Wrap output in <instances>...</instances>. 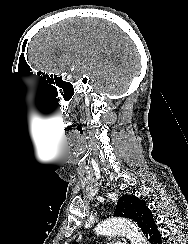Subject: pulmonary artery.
<instances>
[{
	"instance_id": "pulmonary-artery-1",
	"label": "pulmonary artery",
	"mask_w": 188,
	"mask_h": 244,
	"mask_svg": "<svg viewBox=\"0 0 188 244\" xmlns=\"http://www.w3.org/2000/svg\"><path fill=\"white\" fill-rule=\"evenodd\" d=\"M108 244H125V243H122V242H111V243H108Z\"/></svg>"
}]
</instances>
